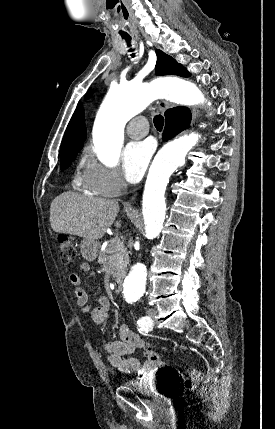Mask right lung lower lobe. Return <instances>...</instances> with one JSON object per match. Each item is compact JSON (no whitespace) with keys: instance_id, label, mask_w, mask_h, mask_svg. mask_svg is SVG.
Wrapping results in <instances>:
<instances>
[{"instance_id":"obj_1","label":"right lung lower lobe","mask_w":275,"mask_h":429,"mask_svg":"<svg viewBox=\"0 0 275 429\" xmlns=\"http://www.w3.org/2000/svg\"><path fill=\"white\" fill-rule=\"evenodd\" d=\"M165 119L163 139L167 140L188 128L191 113L188 108L176 107L165 112Z\"/></svg>"}]
</instances>
